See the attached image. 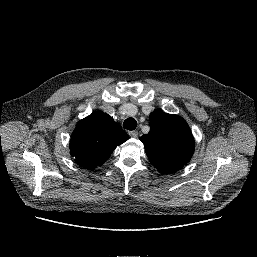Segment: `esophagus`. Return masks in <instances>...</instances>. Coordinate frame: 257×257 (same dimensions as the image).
Instances as JSON below:
<instances>
[{"label": "esophagus", "instance_id": "34e87169", "mask_svg": "<svg viewBox=\"0 0 257 257\" xmlns=\"http://www.w3.org/2000/svg\"><path fill=\"white\" fill-rule=\"evenodd\" d=\"M129 135L133 138H136L138 136V132L137 131H129Z\"/></svg>", "mask_w": 257, "mask_h": 257}]
</instances>
